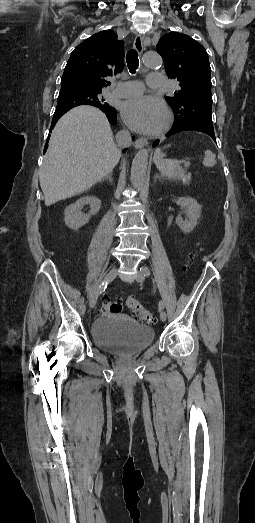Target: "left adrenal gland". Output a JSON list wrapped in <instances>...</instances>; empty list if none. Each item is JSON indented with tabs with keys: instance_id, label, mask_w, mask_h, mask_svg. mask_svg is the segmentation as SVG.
Returning <instances> with one entry per match:
<instances>
[{
	"instance_id": "a2214340",
	"label": "left adrenal gland",
	"mask_w": 255,
	"mask_h": 523,
	"mask_svg": "<svg viewBox=\"0 0 255 523\" xmlns=\"http://www.w3.org/2000/svg\"><path fill=\"white\" fill-rule=\"evenodd\" d=\"M157 178H159V180H162V176H159V174H156V176L154 178V182H156Z\"/></svg>"
}]
</instances>
